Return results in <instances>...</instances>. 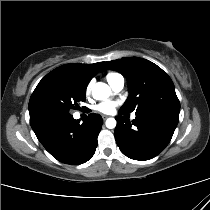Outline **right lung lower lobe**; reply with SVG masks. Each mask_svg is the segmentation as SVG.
Returning a JSON list of instances; mask_svg holds the SVG:
<instances>
[{
	"mask_svg": "<svg viewBox=\"0 0 210 210\" xmlns=\"http://www.w3.org/2000/svg\"><path fill=\"white\" fill-rule=\"evenodd\" d=\"M102 123L98 114H89L83 123L69 114L43 120L32 125V129L54 158L77 165L87 162L94 155Z\"/></svg>",
	"mask_w": 210,
	"mask_h": 210,
	"instance_id": "98d812e1",
	"label": "right lung lower lobe"
}]
</instances>
